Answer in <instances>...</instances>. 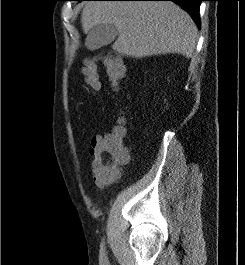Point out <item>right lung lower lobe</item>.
Wrapping results in <instances>:
<instances>
[{
	"label": "right lung lower lobe",
	"instance_id": "98d812e1",
	"mask_svg": "<svg viewBox=\"0 0 245 265\" xmlns=\"http://www.w3.org/2000/svg\"><path fill=\"white\" fill-rule=\"evenodd\" d=\"M124 1H173L184 8L193 18L198 27H200L199 8L203 0H124Z\"/></svg>",
	"mask_w": 245,
	"mask_h": 265
}]
</instances>
